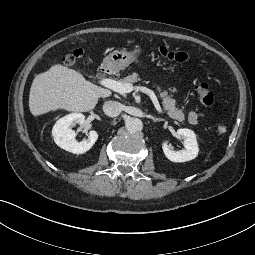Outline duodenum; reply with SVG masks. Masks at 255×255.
<instances>
[{
	"instance_id": "duodenum-1",
	"label": "duodenum",
	"mask_w": 255,
	"mask_h": 255,
	"mask_svg": "<svg viewBox=\"0 0 255 255\" xmlns=\"http://www.w3.org/2000/svg\"><path fill=\"white\" fill-rule=\"evenodd\" d=\"M110 73V69L108 68V64L105 63L99 68V74L100 75H107Z\"/></svg>"
}]
</instances>
